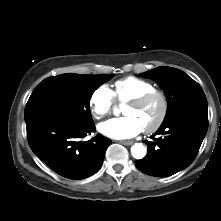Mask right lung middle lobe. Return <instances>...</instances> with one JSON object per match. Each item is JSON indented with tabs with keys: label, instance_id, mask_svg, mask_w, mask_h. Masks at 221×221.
I'll return each mask as SVG.
<instances>
[{
	"label": "right lung middle lobe",
	"instance_id": "dd1d6c3e",
	"mask_svg": "<svg viewBox=\"0 0 221 221\" xmlns=\"http://www.w3.org/2000/svg\"><path fill=\"white\" fill-rule=\"evenodd\" d=\"M113 75L62 74L43 80L34 89L25 107V121L39 114H57L78 125L93 124L90 98Z\"/></svg>",
	"mask_w": 221,
	"mask_h": 221
}]
</instances>
